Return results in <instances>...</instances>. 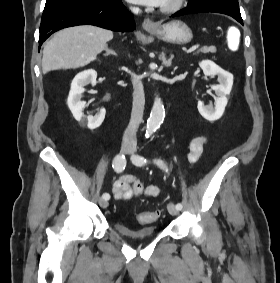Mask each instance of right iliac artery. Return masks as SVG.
<instances>
[{"instance_id": "obj_1", "label": "right iliac artery", "mask_w": 280, "mask_h": 283, "mask_svg": "<svg viewBox=\"0 0 280 283\" xmlns=\"http://www.w3.org/2000/svg\"><path fill=\"white\" fill-rule=\"evenodd\" d=\"M112 167L113 169L117 172V173H121L124 171L125 167H126V159L125 156L122 154H118L115 156L113 163H112ZM102 197L106 200L110 199V195L108 193H104L102 195Z\"/></svg>"}]
</instances>
